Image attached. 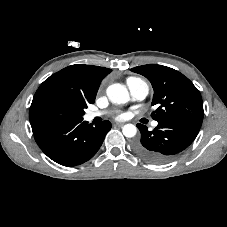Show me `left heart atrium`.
I'll use <instances>...</instances> for the list:
<instances>
[{
  "instance_id": "1",
  "label": "left heart atrium",
  "mask_w": 227,
  "mask_h": 227,
  "mask_svg": "<svg viewBox=\"0 0 227 227\" xmlns=\"http://www.w3.org/2000/svg\"><path fill=\"white\" fill-rule=\"evenodd\" d=\"M125 115L123 113H120L116 116L117 119H123Z\"/></svg>"
}]
</instances>
